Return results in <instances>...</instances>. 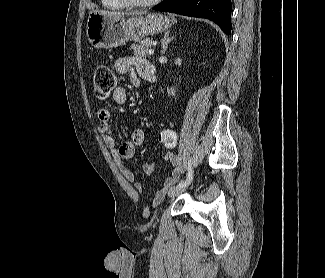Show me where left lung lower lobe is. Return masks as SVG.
Returning <instances> with one entry per match:
<instances>
[{
  "label": "left lung lower lobe",
  "mask_w": 325,
  "mask_h": 278,
  "mask_svg": "<svg viewBox=\"0 0 325 278\" xmlns=\"http://www.w3.org/2000/svg\"><path fill=\"white\" fill-rule=\"evenodd\" d=\"M185 16L206 18L231 34V0H165L153 8Z\"/></svg>",
  "instance_id": "1"
}]
</instances>
